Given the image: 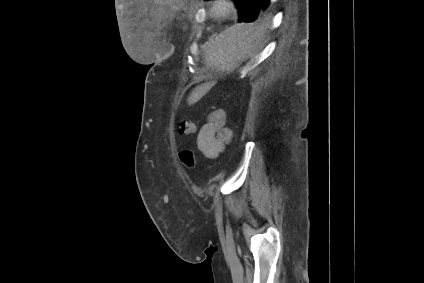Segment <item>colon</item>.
Returning a JSON list of instances; mask_svg holds the SVG:
<instances>
[{
	"instance_id": "5ec220e1",
	"label": "colon",
	"mask_w": 424,
	"mask_h": 283,
	"mask_svg": "<svg viewBox=\"0 0 424 283\" xmlns=\"http://www.w3.org/2000/svg\"><path fill=\"white\" fill-rule=\"evenodd\" d=\"M196 125L190 119H182L178 125V132L180 135H191L195 132ZM179 158L181 162L188 168H193L195 166V156L191 150H182L179 153Z\"/></svg>"
}]
</instances>
